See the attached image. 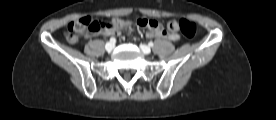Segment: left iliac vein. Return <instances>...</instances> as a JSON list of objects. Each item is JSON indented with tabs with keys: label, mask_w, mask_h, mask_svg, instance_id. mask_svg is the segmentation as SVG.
Returning <instances> with one entry per match:
<instances>
[{
	"label": "left iliac vein",
	"mask_w": 276,
	"mask_h": 120,
	"mask_svg": "<svg viewBox=\"0 0 276 120\" xmlns=\"http://www.w3.org/2000/svg\"><path fill=\"white\" fill-rule=\"evenodd\" d=\"M140 49L142 50V52H143L144 54H150V53H151L150 47H148V46H146V45L141 44V45H140Z\"/></svg>",
	"instance_id": "1"
}]
</instances>
